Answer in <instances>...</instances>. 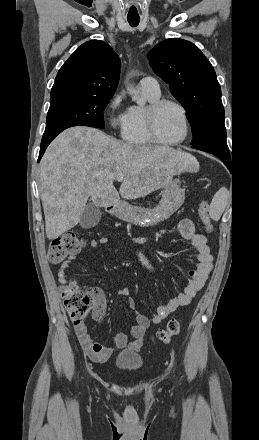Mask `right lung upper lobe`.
Segmentation results:
<instances>
[{
    "mask_svg": "<svg viewBox=\"0 0 259 440\" xmlns=\"http://www.w3.org/2000/svg\"><path fill=\"white\" fill-rule=\"evenodd\" d=\"M120 59L103 41L82 44L60 68L51 95L88 93L113 96L119 81Z\"/></svg>",
    "mask_w": 259,
    "mask_h": 440,
    "instance_id": "right-lung-upper-lobe-1",
    "label": "right lung upper lobe"
}]
</instances>
